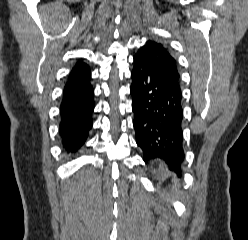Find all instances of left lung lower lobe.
<instances>
[{"mask_svg": "<svg viewBox=\"0 0 248 240\" xmlns=\"http://www.w3.org/2000/svg\"><path fill=\"white\" fill-rule=\"evenodd\" d=\"M131 78L133 126L143 160L159 158L180 173L185 158L180 87L139 55L134 56Z\"/></svg>", "mask_w": 248, "mask_h": 240, "instance_id": "1", "label": "left lung lower lobe"}]
</instances>
